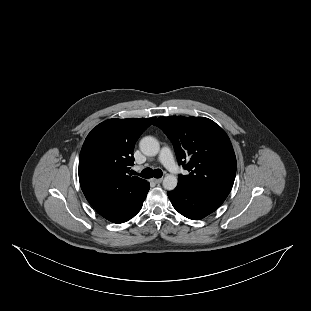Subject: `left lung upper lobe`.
Returning <instances> with one entry per match:
<instances>
[{
    "mask_svg": "<svg viewBox=\"0 0 311 311\" xmlns=\"http://www.w3.org/2000/svg\"><path fill=\"white\" fill-rule=\"evenodd\" d=\"M154 125L168 136L178 163L189 171L188 175H179L178 185L228 196L236 175V157L219 125L208 118L183 116L159 117Z\"/></svg>",
    "mask_w": 311,
    "mask_h": 311,
    "instance_id": "obj_1",
    "label": "left lung upper lobe"
}]
</instances>
